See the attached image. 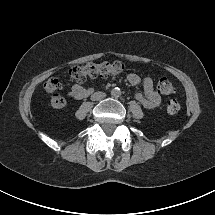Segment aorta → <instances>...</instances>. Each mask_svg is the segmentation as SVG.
<instances>
[{
  "label": "aorta",
  "instance_id": "obj_1",
  "mask_svg": "<svg viewBox=\"0 0 215 215\" xmlns=\"http://www.w3.org/2000/svg\"><path fill=\"white\" fill-rule=\"evenodd\" d=\"M111 94L114 97H119L121 95V91H120V89L115 88L111 91Z\"/></svg>",
  "mask_w": 215,
  "mask_h": 215
}]
</instances>
